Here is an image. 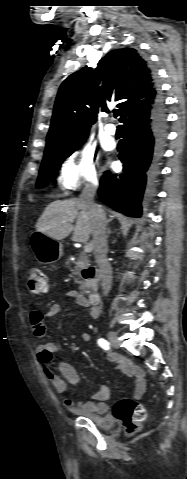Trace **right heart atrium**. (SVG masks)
Returning <instances> with one entry per match:
<instances>
[{"instance_id": "d8ad5b80", "label": "right heart atrium", "mask_w": 187, "mask_h": 479, "mask_svg": "<svg viewBox=\"0 0 187 479\" xmlns=\"http://www.w3.org/2000/svg\"><path fill=\"white\" fill-rule=\"evenodd\" d=\"M96 153L89 147L67 157L58 169V186L63 192H70L83 184L96 185L99 181Z\"/></svg>"}]
</instances>
